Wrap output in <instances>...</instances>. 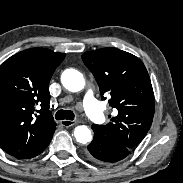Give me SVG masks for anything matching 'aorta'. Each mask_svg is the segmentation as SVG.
Returning a JSON list of instances; mask_svg holds the SVG:
<instances>
[{
    "instance_id": "762f6f07",
    "label": "aorta",
    "mask_w": 183,
    "mask_h": 183,
    "mask_svg": "<svg viewBox=\"0 0 183 183\" xmlns=\"http://www.w3.org/2000/svg\"><path fill=\"white\" fill-rule=\"evenodd\" d=\"M62 85L71 92H79L85 86L83 75L75 69H67L61 75ZM74 136L77 142L86 144L91 141V130L84 125L78 126L74 130Z\"/></svg>"
}]
</instances>
